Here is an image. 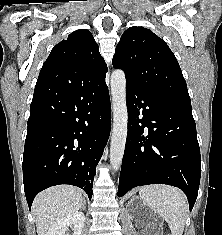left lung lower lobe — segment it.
Here are the masks:
<instances>
[{"label":"left lung lower lobe","instance_id":"left-lung-lower-lobe-1","mask_svg":"<svg viewBox=\"0 0 222 235\" xmlns=\"http://www.w3.org/2000/svg\"><path fill=\"white\" fill-rule=\"evenodd\" d=\"M126 98L128 134L118 196L137 186L172 185L186 194L191 211L201 176L200 148L192 111L127 83Z\"/></svg>","mask_w":222,"mask_h":235}]
</instances>
